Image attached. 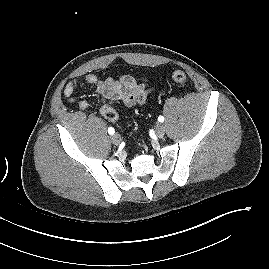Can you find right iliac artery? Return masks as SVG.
I'll return each mask as SVG.
<instances>
[{"label": "right iliac artery", "instance_id": "obj_1", "mask_svg": "<svg viewBox=\"0 0 269 269\" xmlns=\"http://www.w3.org/2000/svg\"><path fill=\"white\" fill-rule=\"evenodd\" d=\"M114 128H112V127H109L108 128V133L110 134V135H113L114 134Z\"/></svg>", "mask_w": 269, "mask_h": 269}]
</instances>
